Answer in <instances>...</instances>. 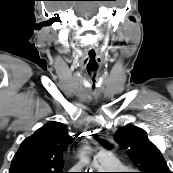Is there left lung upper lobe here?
I'll return each instance as SVG.
<instances>
[{"mask_svg":"<svg viewBox=\"0 0 173 173\" xmlns=\"http://www.w3.org/2000/svg\"><path fill=\"white\" fill-rule=\"evenodd\" d=\"M114 138L127 151L140 173H171L161 152L143 129L125 126L115 133Z\"/></svg>","mask_w":173,"mask_h":173,"instance_id":"1","label":"left lung upper lobe"}]
</instances>
